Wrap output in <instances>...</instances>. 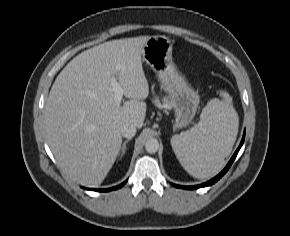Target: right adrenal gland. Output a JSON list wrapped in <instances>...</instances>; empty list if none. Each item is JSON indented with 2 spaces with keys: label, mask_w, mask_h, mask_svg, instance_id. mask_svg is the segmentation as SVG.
<instances>
[{
  "label": "right adrenal gland",
  "mask_w": 290,
  "mask_h": 236,
  "mask_svg": "<svg viewBox=\"0 0 290 236\" xmlns=\"http://www.w3.org/2000/svg\"><path fill=\"white\" fill-rule=\"evenodd\" d=\"M130 138L129 139H127V140H125L124 142H123V145H122V147H121V149H120V153H119V156H120V158H122L123 157V155L125 154V152H126V144L128 143V142H130Z\"/></svg>",
  "instance_id": "1"
}]
</instances>
